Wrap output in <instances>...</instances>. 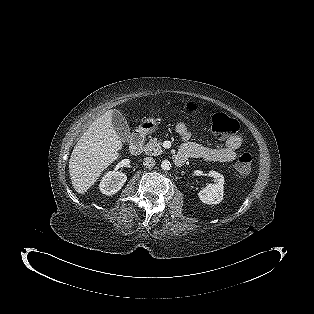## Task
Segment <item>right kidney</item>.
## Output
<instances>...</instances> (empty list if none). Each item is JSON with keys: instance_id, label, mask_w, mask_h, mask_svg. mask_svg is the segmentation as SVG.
<instances>
[{"instance_id": "ca27d5eb", "label": "right kidney", "mask_w": 314, "mask_h": 314, "mask_svg": "<svg viewBox=\"0 0 314 314\" xmlns=\"http://www.w3.org/2000/svg\"><path fill=\"white\" fill-rule=\"evenodd\" d=\"M127 180V176L120 171H109L106 173L99 184L100 191L105 195L117 193Z\"/></svg>"}]
</instances>
